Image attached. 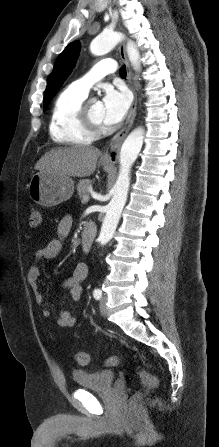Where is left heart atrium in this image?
<instances>
[{"label": "left heart atrium", "instance_id": "39dd6f15", "mask_svg": "<svg viewBox=\"0 0 219 447\" xmlns=\"http://www.w3.org/2000/svg\"><path fill=\"white\" fill-rule=\"evenodd\" d=\"M103 122L107 125L119 123L130 107V97L125 90L107 89L102 100Z\"/></svg>", "mask_w": 219, "mask_h": 447}]
</instances>
